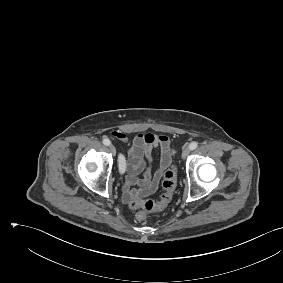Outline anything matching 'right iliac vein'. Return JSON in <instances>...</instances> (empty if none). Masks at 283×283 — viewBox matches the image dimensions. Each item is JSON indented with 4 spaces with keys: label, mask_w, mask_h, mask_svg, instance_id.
<instances>
[{
    "label": "right iliac vein",
    "mask_w": 283,
    "mask_h": 283,
    "mask_svg": "<svg viewBox=\"0 0 283 283\" xmlns=\"http://www.w3.org/2000/svg\"><path fill=\"white\" fill-rule=\"evenodd\" d=\"M109 150H110V152H111L113 155L116 154V149H115V147H114L113 145H110V146H109Z\"/></svg>",
    "instance_id": "right-iliac-vein-1"
}]
</instances>
